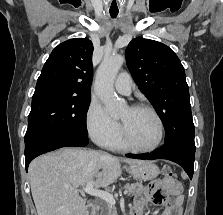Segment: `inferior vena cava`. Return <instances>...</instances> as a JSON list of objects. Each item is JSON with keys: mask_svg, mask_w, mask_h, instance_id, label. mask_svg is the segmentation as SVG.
I'll return each mask as SVG.
<instances>
[{"mask_svg": "<svg viewBox=\"0 0 223 215\" xmlns=\"http://www.w3.org/2000/svg\"><path fill=\"white\" fill-rule=\"evenodd\" d=\"M104 155H108V153H104Z\"/></svg>", "mask_w": 223, "mask_h": 215, "instance_id": "1", "label": "inferior vena cava"}]
</instances>
